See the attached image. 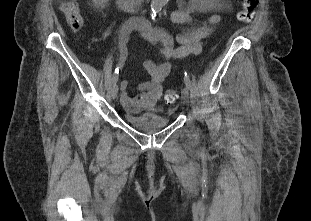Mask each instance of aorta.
Wrapping results in <instances>:
<instances>
[{"label":"aorta","instance_id":"762f6f07","mask_svg":"<svg viewBox=\"0 0 311 221\" xmlns=\"http://www.w3.org/2000/svg\"><path fill=\"white\" fill-rule=\"evenodd\" d=\"M165 0H153L151 4V10L153 16H156V12H160L162 10V6H164Z\"/></svg>","mask_w":311,"mask_h":221}]
</instances>
